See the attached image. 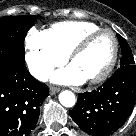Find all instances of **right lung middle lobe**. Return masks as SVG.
I'll list each match as a JSON object with an SVG mask.
<instances>
[{
	"mask_svg": "<svg viewBox=\"0 0 136 136\" xmlns=\"http://www.w3.org/2000/svg\"><path fill=\"white\" fill-rule=\"evenodd\" d=\"M37 17L19 15L0 18V63H25L24 38Z\"/></svg>",
	"mask_w": 136,
	"mask_h": 136,
	"instance_id": "1",
	"label": "right lung middle lobe"
}]
</instances>
